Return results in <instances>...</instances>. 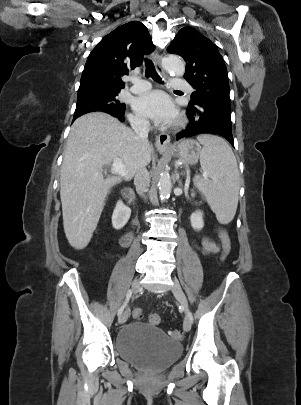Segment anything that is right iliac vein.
Here are the masks:
<instances>
[{"label":"right iliac vein","mask_w":301,"mask_h":405,"mask_svg":"<svg viewBox=\"0 0 301 405\" xmlns=\"http://www.w3.org/2000/svg\"><path fill=\"white\" fill-rule=\"evenodd\" d=\"M139 288H140V281H139V279H135V280L132 282V290H133V292H134V293H137V292L139 291ZM128 316H129V310H125V311L119 316V319H118L119 323H120V324L125 323L126 320L128 319Z\"/></svg>","instance_id":"obj_1"}]
</instances>
